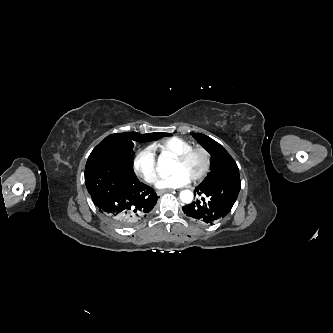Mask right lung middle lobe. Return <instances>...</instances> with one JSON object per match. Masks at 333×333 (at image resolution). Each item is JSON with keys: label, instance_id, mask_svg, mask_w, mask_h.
<instances>
[{"label": "right lung middle lobe", "instance_id": "dd1d6c3e", "mask_svg": "<svg viewBox=\"0 0 333 333\" xmlns=\"http://www.w3.org/2000/svg\"><path fill=\"white\" fill-rule=\"evenodd\" d=\"M169 133H157L154 136L136 132L111 134L102 140L91 152L87 163L105 161L127 167L133 171V141L158 139Z\"/></svg>", "mask_w": 333, "mask_h": 333}]
</instances>
